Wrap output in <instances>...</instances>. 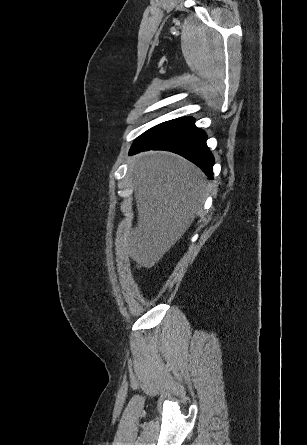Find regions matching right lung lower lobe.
<instances>
[{"label": "right lung lower lobe", "instance_id": "obj_1", "mask_svg": "<svg viewBox=\"0 0 307 445\" xmlns=\"http://www.w3.org/2000/svg\"><path fill=\"white\" fill-rule=\"evenodd\" d=\"M194 122L191 117H183L147 130L135 140L129 155L147 150L171 151L195 163L213 179L214 157L206 145L207 135Z\"/></svg>", "mask_w": 307, "mask_h": 445}]
</instances>
